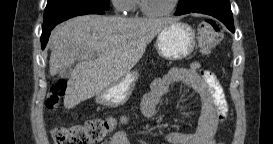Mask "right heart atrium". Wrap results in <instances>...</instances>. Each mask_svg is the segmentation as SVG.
I'll return each mask as SVG.
<instances>
[{"label": "right heart atrium", "instance_id": "1", "mask_svg": "<svg viewBox=\"0 0 273 144\" xmlns=\"http://www.w3.org/2000/svg\"><path fill=\"white\" fill-rule=\"evenodd\" d=\"M131 0H111L114 11L117 13H126L130 11L129 4Z\"/></svg>", "mask_w": 273, "mask_h": 144}]
</instances>
